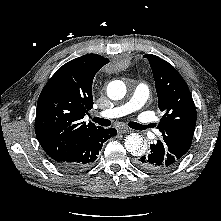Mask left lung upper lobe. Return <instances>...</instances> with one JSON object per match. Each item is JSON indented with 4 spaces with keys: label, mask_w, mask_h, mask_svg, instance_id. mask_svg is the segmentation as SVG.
<instances>
[{
    "label": "left lung upper lobe",
    "mask_w": 221,
    "mask_h": 221,
    "mask_svg": "<svg viewBox=\"0 0 221 221\" xmlns=\"http://www.w3.org/2000/svg\"><path fill=\"white\" fill-rule=\"evenodd\" d=\"M150 63L163 116L157 128L162 142L178 163L189 150L195 131L197 112L189 88L167 61L152 54L144 55Z\"/></svg>",
    "instance_id": "5c2ea615"
}]
</instances>
